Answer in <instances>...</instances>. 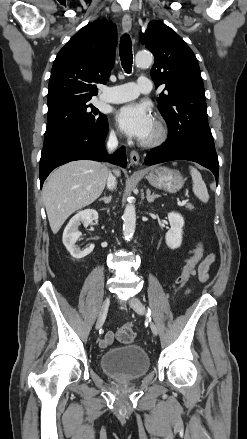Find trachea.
<instances>
[{
	"label": "trachea",
	"mask_w": 247,
	"mask_h": 439,
	"mask_svg": "<svg viewBox=\"0 0 247 439\" xmlns=\"http://www.w3.org/2000/svg\"><path fill=\"white\" fill-rule=\"evenodd\" d=\"M120 60L122 67L126 73H131L133 56H132V44L128 34L122 35L120 39Z\"/></svg>",
	"instance_id": "obj_1"
}]
</instances>
